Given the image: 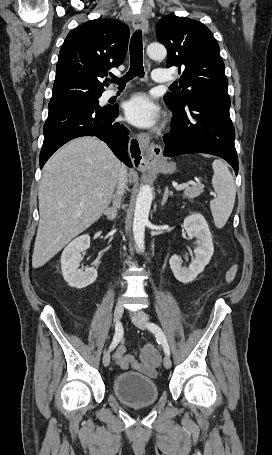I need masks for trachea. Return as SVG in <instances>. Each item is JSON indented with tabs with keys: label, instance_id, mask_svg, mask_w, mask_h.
<instances>
[{
	"label": "trachea",
	"instance_id": "1",
	"mask_svg": "<svg viewBox=\"0 0 272 455\" xmlns=\"http://www.w3.org/2000/svg\"><path fill=\"white\" fill-rule=\"evenodd\" d=\"M144 77L143 68V43L142 31L137 30L131 37L130 41V68L129 71L122 78L112 76L109 82L117 83L120 87L132 80L134 77Z\"/></svg>",
	"mask_w": 272,
	"mask_h": 455
}]
</instances>
